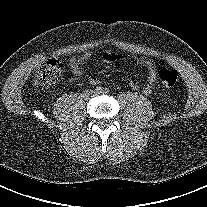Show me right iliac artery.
Segmentation results:
<instances>
[{
  "label": "right iliac artery",
  "instance_id": "right-iliac-artery-1",
  "mask_svg": "<svg viewBox=\"0 0 207 207\" xmlns=\"http://www.w3.org/2000/svg\"><path fill=\"white\" fill-rule=\"evenodd\" d=\"M102 90H103L102 87L99 86V87H96L95 92L96 93H101Z\"/></svg>",
  "mask_w": 207,
  "mask_h": 207
}]
</instances>
